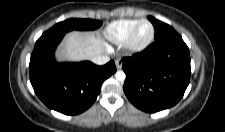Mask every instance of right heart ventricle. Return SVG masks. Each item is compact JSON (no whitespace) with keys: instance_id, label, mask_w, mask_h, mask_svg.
<instances>
[{"instance_id":"e07e8e85","label":"right heart ventricle","mask_w":225,"mask_h":132,"mask_svg":"<svg viewBox=\"0 0 225 132\" xmlns=\"http://www.w3.org/2000/svg\"><path fill=\"white\" fill-rule=\"evenodd\" d=\"M136 19H120L111 22L103 30L104 39L112 44H121L125 41L132 27L138 22Z\"/></svg>"}]
</instances>
